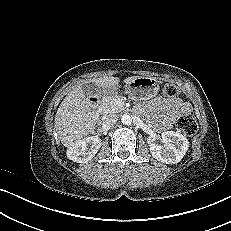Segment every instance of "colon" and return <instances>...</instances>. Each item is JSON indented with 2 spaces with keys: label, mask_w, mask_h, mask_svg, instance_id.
Segmentation results:
<instances>
[{
  "label": "colon",
  "mask_w": 231,
  "mask_h": 231,
  "mask_svg": "<svg viewBox=\"0 0 231 231\" xmlns=\"http://www.w3.org/2000/svg\"><path fill=\"white\" fill-rule=\"evenodd\" d=\"M163 92L167 97H176L179 93L177 86L174 84H167ZM176 126L186 135L192 136L198 130V124L195 116L191 112H186L178 117Z\"/></svg>",
  "instance_id": "obj_1"
}]
</instances>
